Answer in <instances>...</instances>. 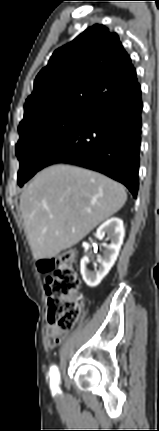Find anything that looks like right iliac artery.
I'll return each mask as SVG.
<instances>
[{
    "instance_id": "obj_1",
    "label": "right iliac artery",
    "mask_w": 159,
    "mask_h": 431,
    "mask_svg": "<svg viewBox=\"0 0 159 431\" xmlns=\"http://www.w3.org/2000/svg\"><path fill=\"white\" fill-rule=\"evenodd\" d=\"M59 380L60 375L58 368L54 365L50 368V388L53 393H56L59 391Z\"/></svg>"
}]
</instances>
